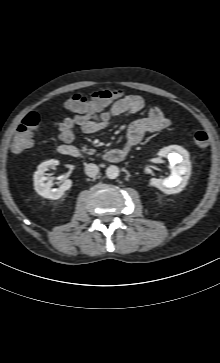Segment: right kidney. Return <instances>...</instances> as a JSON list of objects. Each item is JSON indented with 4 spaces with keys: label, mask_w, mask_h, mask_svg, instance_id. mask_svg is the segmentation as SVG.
<instances>
[{
    "label": "right kidney",
    "mask_w": 220,
    "mask_h": 363,
    "mask_svg": "<svg viewBox=\"0 0 220 363\" xmlns=\"http://www.w3.org/2000/svg\"><path fill=\"white\" fill-rule=\"evenodd\" d=\"M57 165H59V161L55 159L44 161L38 166V170L34 173V189L44 198L59 199L64 195L65 191L69 190L72 186V181L70 179H66L57 189L51 188V181L45 182V171L48 170L49 167Z\"/></svg>",
    "instance_id": "ca27d5eb"
}]
</instances>
